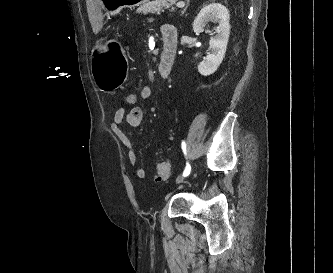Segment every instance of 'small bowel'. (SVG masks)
Here are the masks:
<instances>
[{
	"mask_svg": "<svg viewBox=\"0 0 333 273\" xmlns=\"http://www.w3.org/2000/svg\"><path fill=\"white\" fill-rule=\"evenodd\" d=\"M163 26L161 27V31L163 29ZM151 93L152 92L150 87L144 86L140 89L139 97L142 100H148L151 97ZM143 118V110L139 106L138 109H131L130 111H127L125 108L121 107L115 112L112 123V130L115 136L127 149V157L129 163L134 168V174L138 179H143L145 177V170L143 167L138 165L137 154L134 150L133 143L123 131L122 126L124 122H127L131 126H138L143 121Z\"/></svg>",
	"mask_w": 333,
	"mask_h": 273,
	"instance_id": "c3829d8e",
	"label": "small bowel"
}]
</instances>
